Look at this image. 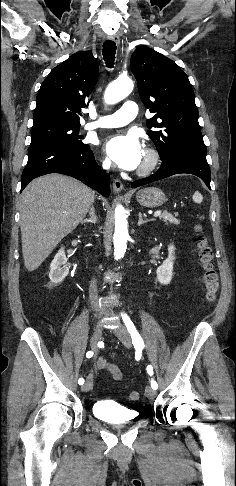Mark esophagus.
<instances>
[{
    "label": "esophagus",
    "instance_id": "1",
    "mask_svg": "<svg viewBox=\"0 0 236 486\" xmlns=\"http://www.w3.org/2000/svg\"><path fill=\"white\" fill-rule=\"evenodd\" d=\"M112 41H114L117 45L120 44V38L118 35H113L111 36L110 38ZM113 189L116 193H119L121 192V190L123 189V184L122 182L119 180V179H114L113 181Z\"/></svg>",
    "mask_w": 236,
    "mask_h": 486
}]
</instances>
